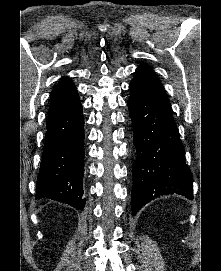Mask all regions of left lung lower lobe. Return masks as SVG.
Instances as JSON below:
<instances>
[{
	"mask_svg": "<svg viewBox=\"0 0 221 271\" xmlns=\"http://www.w3.org/2000/svg\"><path fill=\"white\" fill-rule=\"evenodd\" d=\"M129 90L128 108L137 150L132 168V214L162 195L179 194L192 200V174L185 164L171 106L137 82H131Z\"/></svg>",
	"mask_w": 221,
	"mask_h": 271,
	"instance_id": "0a47b994",
	"label": "left lung lower lobe"
}]
</instances>
